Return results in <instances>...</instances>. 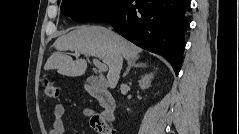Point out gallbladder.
<instances>
[{
	"mask_svg": "<svg viewBox=\"0 0 239 134\" xmlns=\"http://www.w3.org/2000/svg\"><path fill=\"white\" fill-rule=\"evenodd\" d=\"M88 82L97 87H100L102 84L97 78H93V77H90L88 79Z\"/></svg>",
	"mask_w": 239,
	"mask_h": 134,
	"instance_id": "gallbladder-1",
	"label": "gallbladder"
}]
</instances>
